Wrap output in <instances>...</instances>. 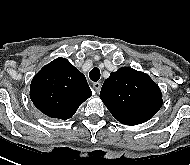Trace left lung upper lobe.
<instances>
[{
    "mask_svg": "<svg viewBox=\"0 0 190 165\" xmlns=\"http://www.w3.org/2000/svg\"><path fill=\"white\" fill-rule=\"evenodd\" d=\"M100 98L122 124L137 125L152 118L162 106V93L146 73L129 67L111 72Z\"/></svg>",
    "mask_w": 190,
    "mask_h": 165,
    "instance_id": "1",
    "label": "left lung upper lobe"
}]
</instances>
